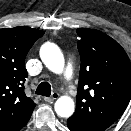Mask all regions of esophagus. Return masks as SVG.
<instances>
[{
    "instance_id": "obj_1",
    "label": "esophagus",
    "mask_w": 131,
    "mask_h": 131,
    "mask_svg": "<svg viewBox=\"0 0 131 131\" xmlns=\"http://www.w3.org/2000/svg\"><path fill=\"white\" fill-rule=\"evenodd\" d=\"M58 97H59V94L54 92V93H52L51 97H44L43 99H44L45 102H49L50 103V102L55 101Z\"/></svg>"
}]
</instances>
